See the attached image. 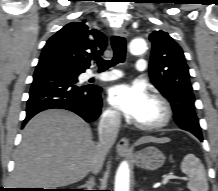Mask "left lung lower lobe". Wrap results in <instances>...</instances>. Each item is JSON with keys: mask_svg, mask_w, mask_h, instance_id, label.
<instances>
[{"mask_svg": "<svg viewBox=\"0 0 218 191\" xmlns=\"http://www.w3.org/2000/svg\"><path fill=\"white\" fill-rule=\"evenodd\" d=\"M182 118H185V121H187V116L185 115V116H181ZM178 125H179V127H180V124H181V122H180V119H178L177 120V122H176ZM181 128V127H180ZM182 129V128H181ZM197 138H199V140L200 141H202L203 140V138H202V135L201 134H194Z\"/></svg>", "mask_w": 218, "mask_h": 191, "instance_id": "left-lung-lower-lobe-1", "label": "left lung lower lobe"}]
</instances>
